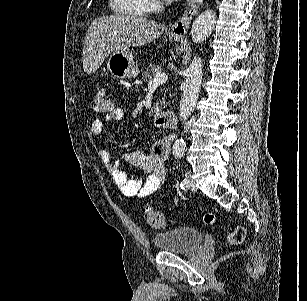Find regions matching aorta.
<instances>
[{
  "instance_id": "obj_1",
  "label": "aorta",
  "mask_w": 307,
  "mask_h": 301,
  "mask_svg": "<svg viewBox=\"0 0 307 301\" xmlns=\"http://www.w3.org/2000/svg\"><path fill=\"white\" fill-rule=\"evenodd\" d=\"M216 12L214 10H204L195 18L192 28L191 36L194 42H203L210 36L216 24ZM203 76V64L201 56H194L189 68L187 78L184 82V88L179 104V120L185 122L188 116L192 114L196 102L198 100L200 86ZM186 142L184 138H177L173 144L174 153H184Z\"/></svg>"
}]
</instances>
